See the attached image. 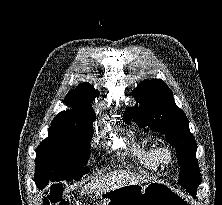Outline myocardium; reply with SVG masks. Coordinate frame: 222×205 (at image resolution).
I'll use <instances>...</instances> for the list:
<instances>
[{
  "label": "myocardium",
  "instance_id": "f54148a6",
  "mask_svg": "<svg viewBox=\"0 0 222 205\" xmlns=\"http://www.w3.org/2000/svg\"><path fill=\"white\" fill-rule=\"evenodd\" d=\"M158 158L163 164H170L174 158V152L171 147L161 145L157 148Z\"/></svg>",
  "mask_w": 222,
  "mask_h": 205
}]
</instances>
